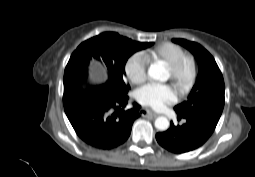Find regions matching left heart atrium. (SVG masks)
Returning <instances> with one entry per match:
<instances>
[{"label":"left heart atrium","instance_id":"39dd6f15","mask_svg":"<svg viewBox=\"0 0 255 177\" xmlns=\"http://www.w3.org/2000/svg\"><path fill=\"white\" fill-rule=\"evenodd\" d=\"M136 98L140 104L159 110L176 102L177 91L170 85L149 83L137 90Z\"/></svg>","mask_w":255,"mask_h":177}]
</instances>
